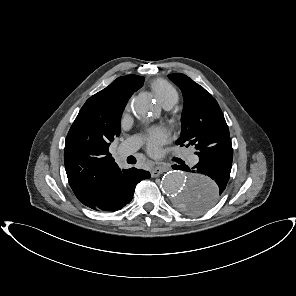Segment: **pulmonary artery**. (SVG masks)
I'll use <instances>...</instances> for the list:
<instances>
[{
    "mask_svg": "<svg viewBox=\"0 0 296 296\" xmlns=\"http://www.w3.org/2000/svg\"><path fill=\"white\" fill-rule=\"evenodd\" d=\"M171 106H168L167 108H170ZM141 145V141L138 137H130L127 140H125L117 150V155L119 159H124L128 155L134 153ZM187 161L190 165H195L199 161V157L194 153H189L187 155Z\"/></svg>",
    "mask_w": 296,
    "mask_h": 296,
    "instance_id": "e3ab8cb5",
    "label": "pulmonary artery"
}]
</instances>
